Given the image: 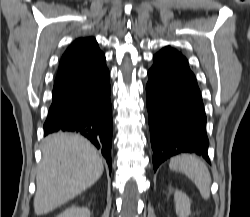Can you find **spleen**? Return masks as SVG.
Listing matches in <instances>:
<instances>
[{"label":"spleen","mask_w":250,"mask_h":217,"mask_svg":"<svg viewBox=\"0 0 250 217\" xmlns=\"http://www.w3.org/2000/svg\"><path fill=\"white\" fill-rule=\"evenodd\" d=\"M169 168L185 174L198 188L202 198H210L211 176L205 163L194 155L182 154L170 160Z\"/></svg>","instance_id":"3e777b00"}]
</instances>
